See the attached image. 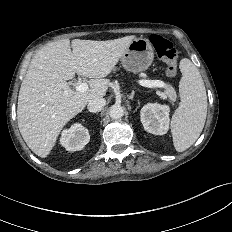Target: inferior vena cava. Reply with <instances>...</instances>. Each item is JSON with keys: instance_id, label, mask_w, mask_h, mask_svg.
<instances>
[{"instance_id": "602c4592", "label": "inferior vena cava", "mask_w": 232, "mask_h": 232, "mask_svg": "<svg viewBox=\"0 0 232 232\" xmlns=\"http://www.w3.org/2000/svg\"><path fill=\"white\" fill-rule=\"evenodd\" d=\"M106 105V100L102 97H96L89 101L87 108L90 112H100Z\"/></svg>"}]
</instances>
